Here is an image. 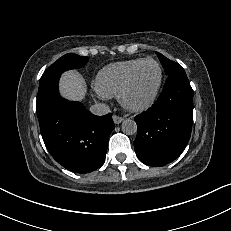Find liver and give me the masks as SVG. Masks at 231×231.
Returning a JSON list of instances; mask_svg holds the SVG:
<instances>
[{
  "label": "liver",
  "instance_id": "1",
  "mask_svg": "<svg viewBox=\"0 0 231 231\" xmlns=\"http://www.w3.org/2000/svg\"><path fill=\"white\" fill-rule=\"evenodd\" d=\"M61 95L71 101H81L85 96V82L76 71L65 72L60 80Z\"/></svg>",
  "mask_w": 231,
  "mask_h": 231
}]
</instances>
